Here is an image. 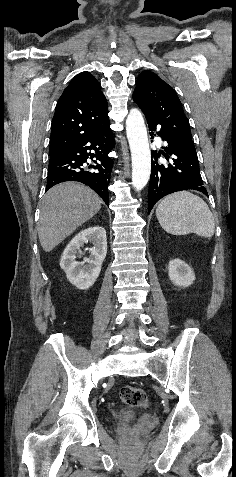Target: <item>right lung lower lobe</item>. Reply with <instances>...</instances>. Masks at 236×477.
Wrapping results in <instances>:
<instances>
[{
  "mask_svg": "<svg viewBox=\"0 0 236 477\" xmlns=\"http://www.w3.org/2000/svg\"><path fill=\"white\" fill-rule=\"evenodd\" d=\"M114 146L108 123L83 138L64 155L51 159L46 191L61 182L78 181L91 187L108 205V184L113 167V161L108 154ZM87 159H91L93 164L89 165Z\"/></svg>",
  "mask_w": 236,
  "mask_h": 477,
  "instance_id": "right-lung-lower-lobe-1",
  "label": "right lung lower lobe"
}]
</instances>
